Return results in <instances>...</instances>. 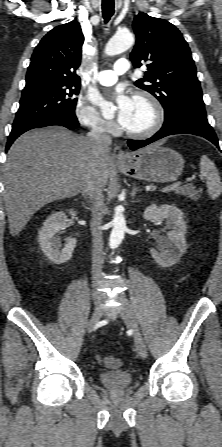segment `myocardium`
<instances>
[{
	"mask_svg": "<svg viewBox=\"0 0 222 447\" xmlns=\"http://www.w3.org/2000/svg\"><path fill=\"white\" fill-rule=\"evenodd\" d=\"M133 100L144 101L151 107V109L153 111V122L149 127L145 128L143 130L134 131V130H129L127 128H123V132L129 137L139 138V139L147 138V137L154 135L161 129V127L163 126V123H164L165 113H164L163 106L161 105V103L158 101V99L155 96H153L152 94H150L148 92L136 93L133 96Z\"/></svg>",
	"mask_w": 222,
	"mask_h": 447,
	"instance_id": "myocardium-1",
	"label": "myocardium"
}]
</instances>
